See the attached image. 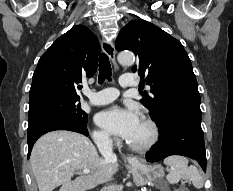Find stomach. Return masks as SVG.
<instances>
[{"label": "stomach", "instance_id": "obj_1", "mask_svg": "<svg viewBox=\"0 0 233 191\" xmlns=\"http://www.w3.org/2000/svg\"><path fill=\"white\" fill-rule=\"evenodd\" d=\"M133 181L137 186L146 185L149 182H154L164 176L163 168L158 164L148 165L135 160L131 163L130 170Z\"/></svg>", "mask_w": 233, "mask_h": 191}]
</instances>
